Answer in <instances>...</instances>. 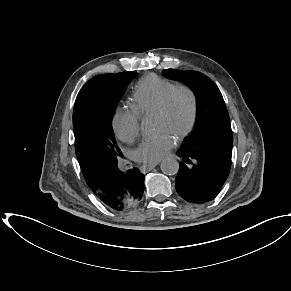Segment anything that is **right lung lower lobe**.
I'll return each mask as SVG.
<instances>
[{
  "instance_id": "obj_1",
  "label": "right lung lower lobe",
  "mask_w": 291,
  "mask_h": 291,
  "mask_svg": "<svg viewBox=\"0 0 291 291\" xmlns=\"http://www.w3.org/2000/svg\"><path fill=\"white\" fill-rule=\"evenodd\" d=\"M92 175L102 186L96 196L115 211H126L134 207L142 198L144 175L137 168L122 172L117 162L96 165Z\"/></svg>"
}]
</instances>
